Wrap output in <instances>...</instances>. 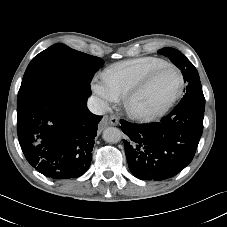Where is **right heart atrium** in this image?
<instances>
[{
    "instance_id": "right-heart-atrium-1",
    "label": "right heart atrium",
    "mask_w": 227,
    "mask_h": 227,
    "mask_svg": "<svg viewBox=\"0 0 227 227\" xmlns=\"http://www.w3.org/2000/svg\"><path fill=\"white\" fill-rule=\"evenodd\" d=\"M91 89L104 107L118 101L119 96L110 86L104 74L93 79Z\"/></svg>"
}]
</instances>
